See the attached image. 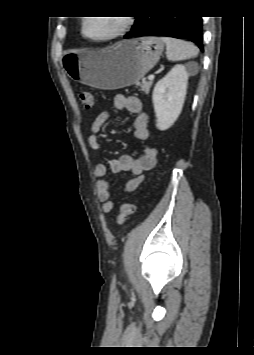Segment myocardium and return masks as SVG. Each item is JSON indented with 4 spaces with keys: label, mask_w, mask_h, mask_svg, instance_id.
<instances>
[{
    "label": "myocardium",
    "mask_w": 254,
    "mask_h": 355,
    "mask_svg": "<svg viewBox=\"0 0 254 355\" xmlns=\"http://www.w3.org/2000/svg\"><path fill=\"white\" fill-rule=\"evenodd\" d=\"M118 18L121 20V25L120 28L114 32L113 34L104 37V38H93L90 37L86 34L85 32V26H86V22L89 19L88 17L84 18V20L82 21V25H81V33L83 35L84 38H86L87 40H90L92 42H97V43H101V42H108L114 39H117L119 37H121L122 35H124L133 25V17L132 16H118Z\"/></svg>",
    "instance_id": "myocardium-1"
}]
</instances>
